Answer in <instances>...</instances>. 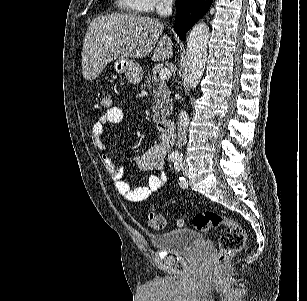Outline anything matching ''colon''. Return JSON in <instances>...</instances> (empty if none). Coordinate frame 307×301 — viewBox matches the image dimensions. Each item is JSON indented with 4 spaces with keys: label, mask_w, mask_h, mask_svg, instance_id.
I'll return each mask as SVG.
<instances>
[{
    "label": "colon",
    "mask_w": 307,
    "mask_h": 301,
    "mask_svg": "<svg viewBox=\"0 0 307 301\" xmlns=\"http://www.w3.org/2000/svg\"><path fill=\"white\" fill-rule=\"evenodd\" d=\"M112 107L110 95L102 91L95 103V109L99 112H106ZM145 221L149 227L155 230L166 228L165 217L155 210H149L145 214ZM192 225L201 232L210 231L218 227H224L218 238L219 251L215 262L221 264L239 252L245 245L246 231L236 221L223 216L215 211L206 210L196 214L192 218Z\"/></svg>",
    "instance_id": "1"
}]
</instances>
